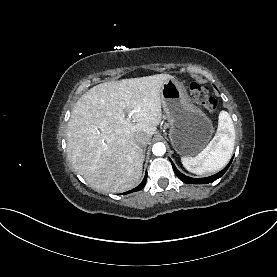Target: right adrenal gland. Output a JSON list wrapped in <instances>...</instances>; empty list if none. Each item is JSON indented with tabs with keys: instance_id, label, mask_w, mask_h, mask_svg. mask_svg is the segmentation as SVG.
<instances>
[{
	"instance_id": "2a0ac1e0",
	"label": "right adrenal gland",
	"mask_w": 277,
	"mask_h": 277,
	"mask_svg": "<svg viewBox=\"0 0 277 277\" xmlns=\"http://www.w3.org/2000/svg\"><path fill=\"white\" fill-rule=\"evenodd\" d=\"M143 156H145V149L143 150Z\"/></svg>"
}]
</instances>
